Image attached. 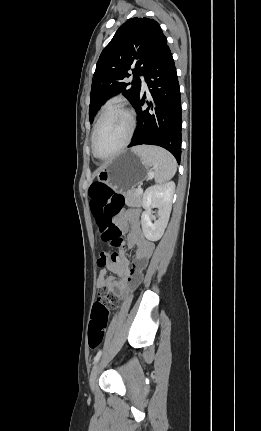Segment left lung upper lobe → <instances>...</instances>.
Returning a JSON list of instances; mask_svg holds the SVG:
<instances>
[{"mask_svg":"<svg viewBox=\"0 0 261 431\" xmlns=\"http://www.w3.org/2000/svg\"><path fill=\"white\" fill-rule=\"evenodd\" d=\"M167 45L160 25L150 18H132L115 33L102 51L91 86L90 122L112 95L122 93L134 106L141 89L139 76L145 75L153 60ZM132 69L133 81L126 83Z\"/></svg>","mask_w":261,"mask_h":431,"instance_id":"5c2ea615","label":"left lung upper lobe"}]
</instances>
